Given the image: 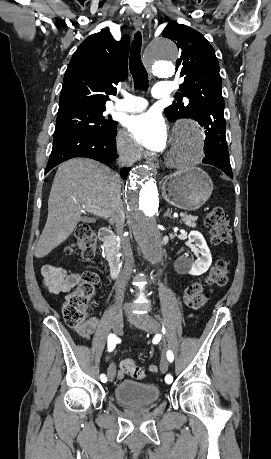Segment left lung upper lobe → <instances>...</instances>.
Segmentation results:
<instances>
[{"label":"left lung upper lobe","instance_id":"left-lung-upper-lobe-1","mask_svg":"<svg viewBox=\"0 0 271 459\" xmlns=\"http://www.w3.org/2000/svg\"><path fill=\"white\" fill-rule=\"evenodd\" d=\"M162 34L173 40L181 52L176 70L184 82L180 84L176 96L189 98L188 105L181 100L174 102L164 110L165 115L171 121L187 117L198 123L224 118L222 81L213 47L201 33L177 22H170Z\"/></svg>","mask_w":271,"mask_h":459}]
</instances>
